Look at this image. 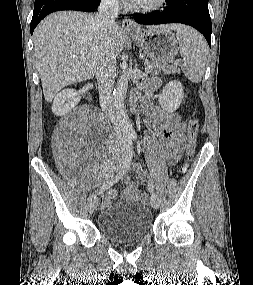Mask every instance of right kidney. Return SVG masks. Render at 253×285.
<instances>
[{"mask_svg":"<svg viewBox=\"0 0 253 285\" xmlns=\"http://www.w3.org/2000/svg\"><path fill=\"white\" fill-rule=\"evenodd\" d=\"M79 101L80 96L76 90L65 89L55 96L52 112L57 116H63L71 111Z\"/></svg>","mask_w":253,"mask_h":285,"instance_id":"obj_1","label":"right kidney"}]
</instances>
